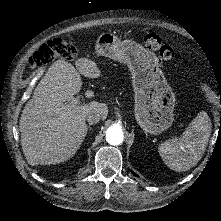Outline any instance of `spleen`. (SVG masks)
I'll list each match as a JSON object with an SVG mask.
<instances>
[{
    "label": "spleen",
    "mask_w": 221,
    "mask_h": 221,
    "mask_svg": "<svg viewBox=\"0 0 221 221\" xmlns=\"http://www.w3.org/2000/svg\"><path fill=\"white\" fill-rule=\"evenodd\" d=\"M211 130L208 114L199 112L181 136L168 139L159 146L164 163L176 172L188 171L196 166L206 150Z\"/></svg>",
    "instance_id": "3e777b00"
}]
</instances>
